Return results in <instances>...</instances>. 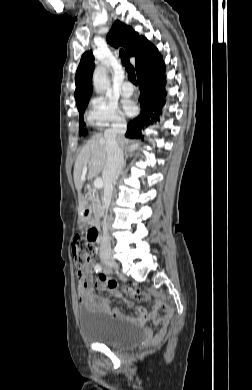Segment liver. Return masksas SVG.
Wrapping results in <instances>:
<instances>
[{"label": "liver", "instance_id": "6515ba94", "mask_svg": "<svg viewBox=\"0 0 252 390\" xmlns=\"http://www.w3.org/2000/svg\"><path fill=\"white\" fill-rule=\"evenodd\" d=\"M117 142L121 149L125 147L130 153L138 147L137 141H130L121 136L117 137ZM106 161V139L102 134H97L83 146L74 165L73 176L75 187L78 191L79 216H82L87 205L86 198L80 193L85 177L87 176L88 179H91L99 174L104 169ZM85 167L87 168L86 170Z\"/></svg>", "mask_w": 252, "mask_h": 390}]
</instances>
